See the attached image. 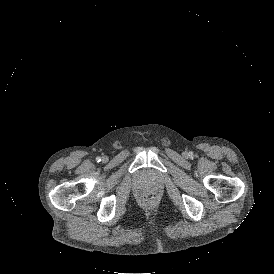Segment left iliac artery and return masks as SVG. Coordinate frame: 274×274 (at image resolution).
<instances>
[{
	"label": "left iliac artery",
	"mask_w": 274,
	"mask_h": 274,
	"mask_svg": "<svg viewBox=\"0 0 274 274\" xmlns=\"http://www.w3.org/2000/svg\"><path fill=\"white\" fill-rule=\"evenodd\" d=\"M189 156H190V157H193V152H189Z\"/></svg>",
	"instance_id": "1"
}]
</instances>
